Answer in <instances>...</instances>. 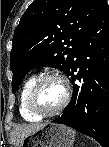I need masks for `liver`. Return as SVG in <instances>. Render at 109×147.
I'll use <instances>...</instances> for the list:
<instances>
[{
    "label": "liver",
    "instance_id": "obj_1",
    "mask_svg": "<svg viewBox=\"0 0 109 147\" xmlns=\"http://www.w3.org/2000/svg\"><path fill=\"white\" fill-rule=\"evenodd\" d=\"M44 126L45 124H29V125L17 126L12 132L11 140L16 145V147H20L23 139L26 136L36 132L37 130L41 129Z\"/></svg>",
    "mask_w": 109,
    "mask_h": 147
}]
</instances>
